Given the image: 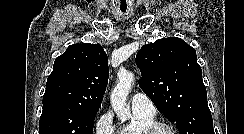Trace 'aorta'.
I'll return each mask as SVG.
<instances>
[{"instance_id":"1","label":"aorta","mask_w":244,"mask_h":134,"mask_svg":"<svg viewBox=\"0 0 244 134\" xmlns=\"http://www.w3.org/2000/svg\"><path fill=\"white\" fill-rule=\"evenodd\" d=\"M134 83V74L126 70L118 72V82L110 94V102L117 117L122 122L131 116L130 108L126 104L127 96Z\"/></svg>"}]
</instances>
